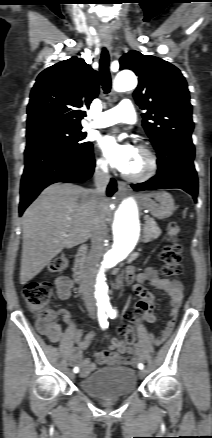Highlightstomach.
<instances>
[{"label":"stomach","instance_id":"0dacf381","mask_svg":"<svg viewBox=\"0 0 212 438\" xmlns=\"http://www.w3.org/2000/svg\"><path fill=\"white\" fill-rule=\"evenodd\" d=\"M141 203L151 214L159 219L170 217L175 211L172 196L164 191L151 192L141 196Z\"/></svg>","mask_w":212,"mask_h":438}]
</instances>
